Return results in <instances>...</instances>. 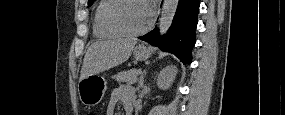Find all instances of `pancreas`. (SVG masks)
<instances>
[{"label":"pancreas","instance_id":"1","mask_svg":"<svg viewBox=\"0 0 285 115\" xmlns=\"http://www.w3.org/2000/svg\"><path fill=\"white\" fill-rule=\"evenodd\" d=\"M138 74H139L138 70L131 69V70L123 71V72L116 74L114 76V79L119 83L126 82L128 84H131L137 80Z\"/></svg>","mask_w":285,"mask_h":115}]
</instances>
